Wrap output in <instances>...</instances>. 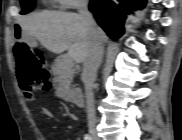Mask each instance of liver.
I'll return each mask as SVG.
<instances>
[{
	"instance_id": "6515ba94",
	"label": "liver",
	"mask_w": 182,
	"mask_h": 140,
	"mask_svg": "<svg viewBox=\"0 0 182 140\" xmlns=\"http://www.w3.org/2000/svg\"><path fill=\"white\" fill-rule=\"evenodd\" d=\"M22 39H37L49 51L68 55L77 63L83 62L90 49V36L81 17L76 13L42 11L19 20ZM95 31L101 43L108 40L106 33L97 25Z\"/></svg>"
}]
</instances>
